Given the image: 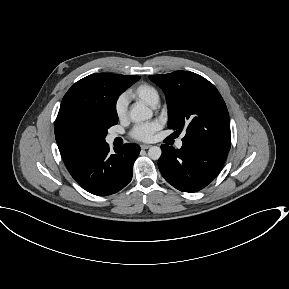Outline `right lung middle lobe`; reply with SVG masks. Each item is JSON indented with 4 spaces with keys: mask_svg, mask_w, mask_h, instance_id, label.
<instances>
[{
    "mask_svg": "<svg viewBox=\"0 0 289 289\" xmlns=\"http://www.w3.org/2000/svg\"><path fill=\"white\" fill-rule=\"evenodd\" d=\"M140 78L126 79L116 83L106 99L101 110L90 121H79L70 129V139L74 148L82 153H89L106 144L107 130L118 123L116 101L119 95Z\"/></svg>",
    "mask_w": 289,
    "mask_h": 289,
    "instance_id": "obj_1",
    "label": "right lung middle lobe"
}]
</instances>
